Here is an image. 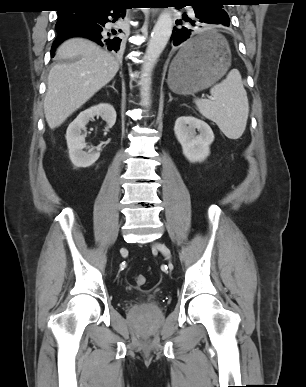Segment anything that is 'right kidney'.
Returning <instances> with one entry per match:
<instances>
[{"label":"right kidney","instance_id":"ca27d5eb","mask_svg":"<svg viewBox=\"0 0 306 387\" xmlns=\"http://www.w3.org/2000/svg\"><path fill=\"white\" fill-rule=\"evenodd\" d=\"M95 116H100L107 123L108 128H112L116 122V111L114 107L108 103H100L82 111L67 128L66 140L69 157L76 167H89L100 156L98 150L94 151V148L86 146L85 134H82V131L86 132V125L89 120ZM85 148L89 149L88 152L84 151Z\"/></svg>","mask_w":306,"mask_h":387}]
</instances>
